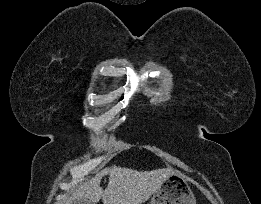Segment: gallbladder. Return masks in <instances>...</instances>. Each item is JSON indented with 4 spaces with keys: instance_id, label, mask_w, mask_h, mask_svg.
I'll return each instance as SVG.
<instances>
[{
    "instance_id": "bac80fb5",
    "label": "gallbladder",
    "mask_w": 261,
    "mask_h": 204,
    "mask_svg": "<svg viewBox=\"0 0 261 204\" xmlns=\"http://www.w3.org/2000/svg\"><path fill=\"white\" fill-rule=\"evenodd\" d=\"M73 204H92V202L87 198H79L74 200Z\"/></svg>"
}]
</instances>
